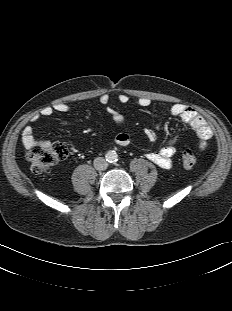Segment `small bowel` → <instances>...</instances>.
Returning <instances> with one entry per match:
<instances>
[{"label": "small bowel", "instance_id": "small-bowel-1", "mask_svg": "<svg viewBox=\"0 0 232 311\" xmlns=\"http://www.w3.org/2000/svg\"><path fill=\"white\" fill-rule=\"evenodd\" d=\"M117 99L119 103L125 104L129 101V96L126 94H120ZM109 100L110 98L107 94L102 95L99 99L102 105H107ZM137 104L141 107H146L150 104V100L145 97L139 98L137 100ZM69 111L70 106L67 103L56 102L52 105L43 107L39 114L32 117V121L37 122L41 117L48 118L51 117L54 113H66ZM108 113L117 125H121L123 123V117L117 111L109 109ZM169 114L171 116L180 118L184 124H186L195 132L199 139L200 149H204L207 146L208 141L212 137V129L206 120L197 111L181 104H175L169 109ZM159 127L160 125H157V128ZM22 142L27 149H31L36 146H47L51 144V142L47 139H37L34 136V129L30 125L25 126L22 130ZM115 142L122 147H126L131 144V139L127 134L119 133L115 136ZM175 144L176 139H173L158 152L148 153L146 157L149 161L153 162L157 166L164 169H169L172 167V157L176 152Z\"/></svg>", "mask_w": 232, "mask_h": 311}]
</instances>
